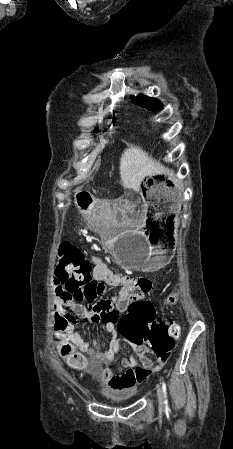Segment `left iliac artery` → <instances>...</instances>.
<instances>
[{
  "label": "left iliac artery",
  "instance_id": "44dca946",
  "mask_svg": "<svg viewBox=\"0 0 233 449\" xmlns=\"http://www.w3.org/2000/svg\"><path fill=\"white\" fill-rule=\"evenodd\" d=\"M162 389H163L164 397H165V405H166V407H168V400H167V394H166V383L165 382L162 383Z\"/></svg>",
  "mask_w": 233,
  "mask_h": 449
}]
</instances>
